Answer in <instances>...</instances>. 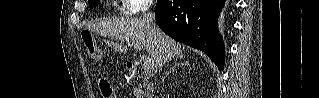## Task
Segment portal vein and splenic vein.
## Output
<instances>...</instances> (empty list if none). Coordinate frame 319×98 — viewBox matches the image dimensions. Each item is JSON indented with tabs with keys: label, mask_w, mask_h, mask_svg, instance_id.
Returning a JSON list of instances; mask_svg holds the SVG:
<instances>
[{
	"label": "portal vein and splenic vein",
	"mask_w": 319,
	"mask_h": 98,
	"mask_svg": "<svg viewBox=\"0 0 319 98\" xmlns=\"http://www.w3.org/2000/svg\"><path fill=\"white\" fill-rule=\"evenodd\" d=\"M132 45L137 50L141 49V45L137 42H133ZM153 66H154V63H153L151 58H145L143 60V69L144 70H146V71L151 70L153 68Z\"/></svg>",
	"instance_id": "1"
}]
</instances>
